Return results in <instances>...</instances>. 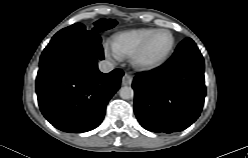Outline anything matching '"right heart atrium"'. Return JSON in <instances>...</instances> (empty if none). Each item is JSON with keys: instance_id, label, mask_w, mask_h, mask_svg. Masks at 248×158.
<instances>
[{"instance_id": "obj_1", "label": "right heart atrium", "mask_w": 248, "mask_h": 158, "mask_svg": "<svg viewBox=\"0 0 248 158\" xmlns=\"http://www.w3.org/2000/svg\"><path fill=\"white\" fill-rule=\"evenodd\" d=\"M106 53L109 57L114 58V59H118L119 55L110 47H106Z\"/></svg>"}]
</instances>
